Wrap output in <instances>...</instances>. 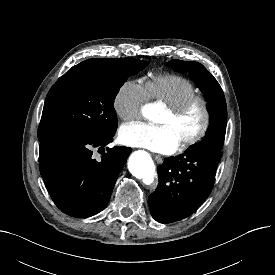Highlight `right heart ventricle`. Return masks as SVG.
I'll use <instances>...</instances> for the list:
<instances>
[{
	"label": "right heart ventricle",
	"instance_id": "1",
	"mask_svg": "<svg viewBox=\"0 0 275 275\" xmlns=\"http://www.w3.org/2000/svg\"><path fill=\"white\" fill-rule=\"evenodd\" d=\"M149 98L166 106L179 103L197 94V88L188 79L175 74H159L145 83Z\"/></svg>",
	"mask_w": 275,
	"mask_h": 275
}]
</instances>
